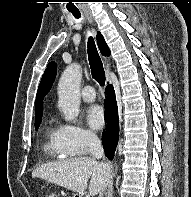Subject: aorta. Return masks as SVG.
Listing matches in <instances>:
<instances>
[{
  "mask_svg": "<svg viewBox=\"0 0 191 197\" xmlns=\"http://www.w3.org/2000/svg\"><path fill=\"white\" fill-rule=\"evenodd\" d=\"M82 69L77 63L66 67L58 84V107L66 121L74 122L80 112Z\"/></svg>",
  "mask_w": 191,
  "mask_h": 197,
  "instance_id": "1",
  "label": "aorta"
}]
</instances>
